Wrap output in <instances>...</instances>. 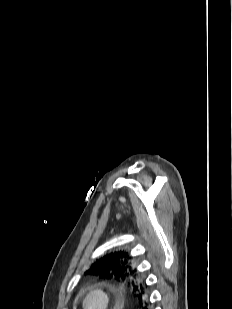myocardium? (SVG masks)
Listing matches in <instances>:
<instances>
[{
	"instance_id": "obj_1",
	"label": "myocardium",
	"mask_w": 232,
	"mask_h": 309,
	"mask_svg": "<svg viewBox=\"0 0 232 309\" xmlns=\"http://www.w3.org/2000/svg\"><path fill=\"white\" fill-rule=\"evenodd\" d=\"M97 295L101 298L102 300V305L100 309H109L111 305V296L107 290L100 286H93L89 288L82 300V307L83 309H88V299L93 296Z\"/></svg>"
}]
</instances>
